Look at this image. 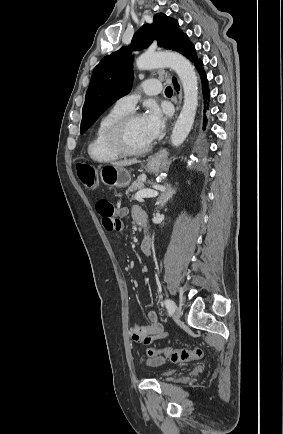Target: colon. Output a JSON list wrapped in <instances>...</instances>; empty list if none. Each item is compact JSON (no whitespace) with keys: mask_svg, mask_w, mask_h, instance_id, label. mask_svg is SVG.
<instances>
[{"mask_svg":"<svg viewBox=\"0 0 283 434\" xmlns=\"http://www.w3.org/2000/svg\"><path fill=\"white\" fill-rule=\"evenodd\" d=\"M79 179L89 189L97 186V173L95 169L86 164H81L77 167ZM149 357H154L159 354H164L170 361L175 363H185L192 360H198L204 357V351L201 348H194L192 350L181 348L176 349L166 347L163 349L148 348L146 351Z\"/></svg>","mask_w":283,"mask_h":434,"instance_id":"1","label":"colon"}]
</instances>
